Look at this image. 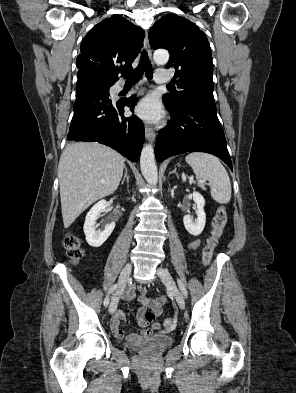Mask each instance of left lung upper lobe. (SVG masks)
I'll return each instance as SVG.
<instances>
[{
	"label": "left lung upper lobe",
	"mask_w": 296,
	"mask_h": 393,
	"mask_svg": "<svg viewBox=\"0 0 296 393\" xmlns=\"http://www.w3.org/2000/svg\"><path fill=\"white\" fill-rule=\"evenodd\" d=\"M149 42L153 49H167L170 59L166 67L175 68L174 84L180 91L163 96L168 110H179L195 99L214 101L211 48L204 32L186 18L169 14L150 29Z\"/></svg>",
	"instance_id": "5c2ea615"
}]
</instances>
